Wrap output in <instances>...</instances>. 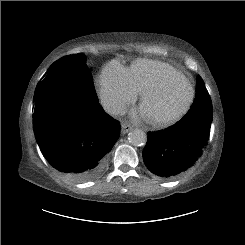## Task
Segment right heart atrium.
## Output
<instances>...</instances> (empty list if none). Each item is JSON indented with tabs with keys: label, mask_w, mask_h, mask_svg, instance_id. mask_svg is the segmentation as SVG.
Returning a JSON list of instances; mask_svg holds the SVG:
<instances>
[{
	"label": "right heart atrium",
	"mask_w": 245,
	"mask_h": 245,
	"mask_svg": "<svg viewBox=\"0 0 245 245\" xmlns=\"http://www.w3.org/2000/svg\"><path fill=\"white\" fill-rule=\"evenodd\" d=\"M98 91L105 106L114 114H122L137 98L127 68L115 61L103 69L98 81Z\"/></svg>",
	"instance_id": "1"
}]
</instances>
